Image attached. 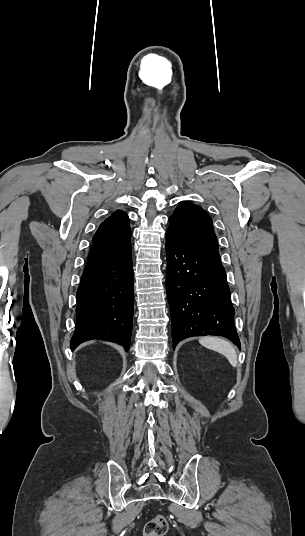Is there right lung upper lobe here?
Returning <instances> with one entry per match:
<instances>
[{
	"mask_svg": "<svg viewBox=\"0 0 305 536\" xmlns=\"http://www.w3.org/2000/svg\"><path fill=\"white\" fill-rule=\"evenodd\" d=\"M130 236L128 216L124 211L117 210L100 225L95 233L88 260L130 247Z\"/></svg>",
	"mask_w": 305,
	"mask_h": 536,
	"instance_id": "obj_1",
	"label": "right lung upper lobe"
}]
</instances>
